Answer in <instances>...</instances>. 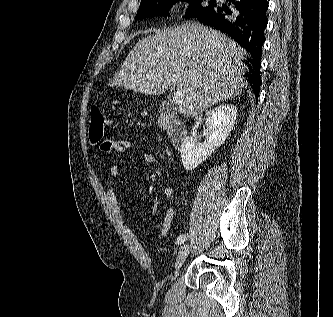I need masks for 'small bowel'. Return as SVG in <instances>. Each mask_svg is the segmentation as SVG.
<instances>
[{"instance_id": "1", "label": "small bowel", "mask_w": 333, "mask_h": 317, "mask_svg": "<svg viewBox=\"0 0 333 317\" xmlns=\"http://www.w3.org/2000/svg\"><path fill=\"white\" fill-rule=\"evenodd\" d=\"M129 146V142L126 140L120 141H103L100 143V149L104 152H111V151H120ZM156 160L155 156L149 152L139 151L132 155L130 158L122 160L119 163H115L110 168V174L112 177V181L110 183L108 189V197L110 201L114 204L117 203V179L121 172V165L127 161H137L146 164H152ZM163 195L166 201V211L163 219V223L160 229V233L162 236H167L170 232L173 215H174V190L170 186H166L163 189ZM160 208V202L156 201L153 207V216L155 217L158 213Z\"/></svg>"}]
</instances>
